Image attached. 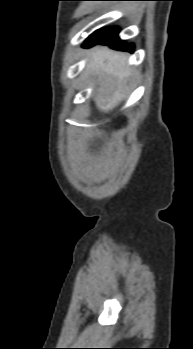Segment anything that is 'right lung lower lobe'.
Wrapping results in <instances>:
<instances>
[{"label":"right lung lower lobe","instance_id":"1","mask_svg":"<svg viewBox=\"0 0 193 349\" xmlns=\"http://www.w3.org/2000/svg\"><path fill=\"white\" fill-rule=\"evenodd\" d=\"M119 28H107L95 31L84 43V47H92L96 44H105L113 49L133 52V44H125L118 37Z\"/></svg>","mask_w":193,"mask_h":349}]
</instances>
